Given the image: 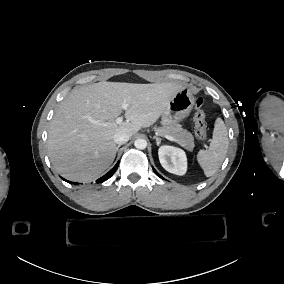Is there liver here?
<instances>
[{"label":"liver","instance_id":"1","mask_svg":"<svg viewBox=\"0 0 284 284\" xmlns=\"http://www.w3.org/2000/svg\"><path fill=\"white\" fill-rule=\"evenodd\" d=\"M183 89L175 82L134 84L99 82L72 90L60 102L48 130V153L55 169L74 181L99 177L114 161L113 137L131 138L154 125ZM129 105L126 121L116 123Z\"/></svg>","mask_w":284,"mask_h":284}]
</instances>
